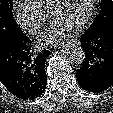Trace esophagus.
I'll list each match as a JSON object with an SVG mask.
<instances>
[{"label":"esophagus","mask_w":113,"mask_h":113,"mask_svg":"<svg viewBox=\"0 0 113 113\" xmlns=\"http://www.w3.org/2000/svg\"><path fill=\"white\" fill-rule=\"evenodd\" d=\"M73 42H74L75 44H78V41H77V40H73Z\"/></svg>","instance_id":"1"}]
</instances>
